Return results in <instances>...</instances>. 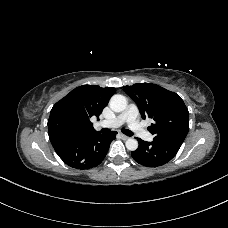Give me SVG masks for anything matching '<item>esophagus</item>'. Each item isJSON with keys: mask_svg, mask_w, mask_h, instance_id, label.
Instances as JSON below:
<instances>
[{"mask_svg": "<svg viewBox=\"0 0 228 228\" xmlns=\"http://www.w3.org/2000/svg\"><path fill=\"white\" fill-rule=\"evenodd\" d=\"M120 136H121V138H122L123 140H127V139H129V137H128V136H126V135H124V134H120Z\"/></svg>", "mask_w": 228, "mask_h": 228, "instance_id": "obj_1", "label": "esophagus"}]
</instances>
